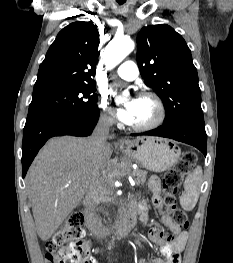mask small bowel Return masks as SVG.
Masks as SVG:
<instances>
[{"instance_id":"c3829d8e","label":"small bowel","mask_w":233,"mask_h":263,"mask_svg":"<svg viewBox=\"0 0 233 263\" xmlns=\"http://www.w3.org/2000/svg\"><path fill=\"white\" fill-rule=\"evenodd\" d=\"M149 188L152 191V204L158 211L163 225L170 231L169 236L158 228H150L147 232L148 238L155 243L163 255V258L155 257L150 260L141 258L139 263H181L180 253L188 239V233L182 230L172 218L163 211V198L161 196L160 180L157 176H152L148 182ZM140 219L145 225L148 219V206L145 202H136ZM90 263H98L95 258L90 259Z\"/></svg>"}]
</instances>
